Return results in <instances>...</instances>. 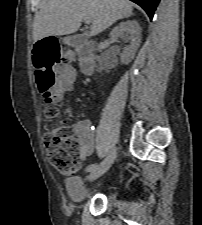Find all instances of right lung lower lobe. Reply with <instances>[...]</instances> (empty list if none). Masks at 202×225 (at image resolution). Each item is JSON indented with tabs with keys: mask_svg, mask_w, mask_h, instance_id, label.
<instances>
[{
	"mask_svg": "<svg viewBox=\"0 0 202 225\" xmlns=\"http://www.w3.org/2000/svg\"><path fill=\"white\" fill-rule=\"evenodd\" d=\"M131 1L140 5L146 11L150 19H152L154 11L160 0H131Z\"/></svg>",
	"mask_w": 202,
	"mask_h": 225,
	"instance_id": "obj_1",
	"label": "right lung lower lobe"
}]
</instances>
